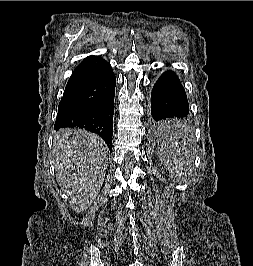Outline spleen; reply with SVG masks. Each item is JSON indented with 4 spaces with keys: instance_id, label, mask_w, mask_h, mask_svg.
<instances>
[{
    "instance_id": "3e777b00",
    "label": "spleen",
    "mask_w": 253,
    "mask_h": 266,
    "mask_svg": "<svg viewBox=\"0 0 253 266\" xmlns=\"http://www.w3.org/2000/svg\"><path fill=\"white\" fill-rule=\"evenodd\" d=\"M162 130L165 133L167 139H178L180 136L179 132L183 131L182 123H163ZM158 148L160 150L161 159L167 161L172 158L174 162H179L180 153L182 151V144L176 141H159Z\"/></svg>"
}]
</instances>
